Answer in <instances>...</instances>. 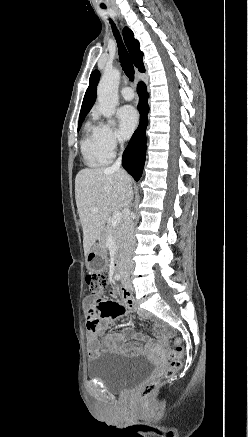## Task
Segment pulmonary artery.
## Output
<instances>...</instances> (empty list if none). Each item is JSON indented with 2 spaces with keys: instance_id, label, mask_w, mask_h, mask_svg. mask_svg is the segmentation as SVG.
Listing matches in <instances>:
<instances>
[{
  "instance_id": "pulmonary-artery-1",
  "label": "pulmonary artery",
  "mask_w": 248,
  "mask_h": 437,
  "mask_svg": "<svg viewBox=\"0 0 248 437\" xmlns=\"http://www.w3.org/2000/svg\"><path fill=\"white\" fill-rule=\"evenodd\" d=\"M121 95L125 100H128V101H130L134 98L133 90L128 86H125L121 89Z\"/></svg>"
}]
</instances>
